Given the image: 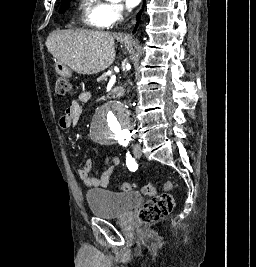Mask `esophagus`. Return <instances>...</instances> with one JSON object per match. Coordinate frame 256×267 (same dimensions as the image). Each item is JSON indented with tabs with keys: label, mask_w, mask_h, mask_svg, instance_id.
Returning <instances> with one entry per match:
<instances>
[{
	"label": "esophagus",
	"mask_w": 256,
	"mask_h": 267,
	"mask_svg": "<svg viewBox=\"0 0 256 267\" xmlns=\"http://www.w3.org/2000/svg\"><path fill=\"white\" fill-rule=\"evenodd\" d=\"M135 23V19L131 20V22L128 24L127 28L130 29V27Z\"/></svg>",
	"instance_id": "obj_1"
}]
</instances>
